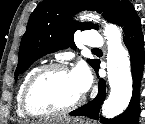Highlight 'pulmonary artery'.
Masks as SVG:
<instances>
[{
  "label": "pulmonary artery",
  "instance_id": "1",
  "mask_svg": "<svg viewBox=\"0 0 145 124\" xmlns=\"http://www.w3.org/2000/svg\"><path fill=\"white\" fill-rule=\"evenodd\" d=\"M85 45L89 48H100L103 46V38L96 30L85 31Z\"/></svg>",
  "mask_w": 145,
  "mask_h": 124
}]
</instances>
